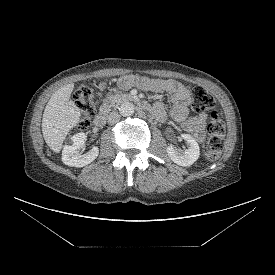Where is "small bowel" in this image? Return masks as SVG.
<instances>
[{"label":"small bowel","mask_w":275,"mask_h":275,"mask_svg":"<svg viewBox=\"0 0 275 275\" xmlns=\"http://www.w3.org/2000/svg\"><path fill=\"white\" fill-rule=\"evenodd\" d=\"M118 84L123 89L135 86L147 91L171 93L173 105L171 118L173 122L180 125L184 131L190 133L197 141L204 140L207 114L199 112L193 117L189 116L190 92L181 83L175 80L150 79L128 75L121 77ZM153 115L161 122L166 121V108L162 102L154 104Z\"/></svg>","instance_id":"small-bowel-1"}]
</instances>
